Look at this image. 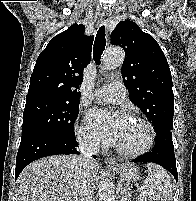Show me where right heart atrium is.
I'll list each match as a JSON object with an SVG mask.
<instances>
[{
  "label": "right heart atrium",
  "mask_w": 196,
  "mask_h": 201,
  "mask_svg": "<svg viewBox=\"0 0 196 201\" xmlns=\"http://www.w3.org/2000/svg\"><path fill=\"white\" fill-rule=\"evenodd\" d=\"M77 139L79 143L83 146L90 148H97L100 146V142L97 138L90 132L88 127L81 125L77 130Z\"/></svg>",
  "instance_id": "obj_1"
}]
</instances>
